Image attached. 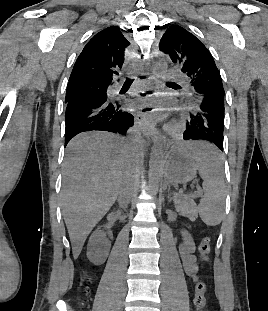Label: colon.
Wrapping results in <instances>:
<instances>
[{
	"instance_id": "colon-1",
	"label": "colon",
	"mask_w": 268,
	"mask_h": 311,
	"mask_svg": "<svg viewBox=\"0 0 268 311\" xmlns=\"http://www.w3.org/2000/svg\"><path fill=\"white\" fill-rule=\"evenodd\" d=\"M211 252V240L209 237H204L199 244V254L202 260L207 261ZM206 285L200 280L195 285L194 305L197 311H203L206 304Z\"/></svg>"
}]
</instances>
